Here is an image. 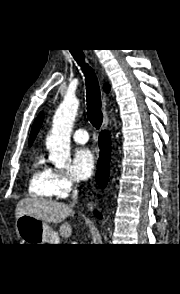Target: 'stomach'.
Wrapping results in <instances>:
<instances>
[{"mask_svg":"<svg viewBox=\"0 0 180 294\" xmlns=\"http://www.w3.org/2000/svg\"><path fill=\"white\" fill-rule=\"evenodd\" d=\"M15 226L23 244H44L56 235L46 222L29 215H21Z\"/></svg>","mask_w":180,"mask_h":294,"instance_id":"obj_1","label":"stomach"}]
</instances>
